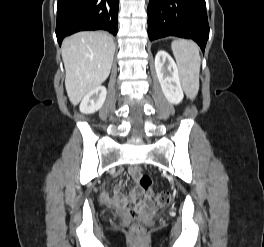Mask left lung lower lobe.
<instances>
[{"instance_id":"1","label":"left lung lower lobe","mask_w":264,"mask_h":247,"mask_svg":"<svg viewBox=\"0 0 264 247\" xmlns=\"http://www.w3.org/2000/svg\"><path fill=\"white\" fill-rule=\"evenodd\" d=\"M148 36L193 39L204 51L209 37L205 0H150Z\"/></svg>"}]
</instances>
